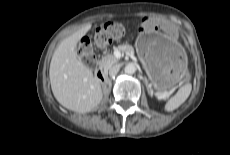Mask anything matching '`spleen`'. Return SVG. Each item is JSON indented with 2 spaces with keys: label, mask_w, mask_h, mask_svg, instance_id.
<instances>
[{
  "label": "spleen",
  "mask_w": 230,
  "mask_h": 155,
  "mask_svg": "<svg viewBox=\"0 0 230 155\" xmlns=\"http://www.w3.org/2000/svg\"><path fill=\"white\" fill-rule=\"evenodd\" d=\"M191 90L192 85L189 83L182 86L174 96L168 99L164 107L165 111L172 112L180 107L189 97Z\"/></svg>",
  "instance_id": "spleen-1"
}]
</instances>
